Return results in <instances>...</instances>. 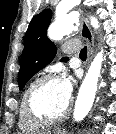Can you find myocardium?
Listing matches in <instances>:
<instances>
[{
  "label": "myocardium",
  "mask_w": 116,
  "mask_h": 134,
  "mask_svg": "<svg viewBox=\"0 0 116 134\" xmlns=\"http://www.w3.org/2000/svg\"><path fill=\"white\" fill-rule=\"evenodd\" d=\"M58 81V78L54 75L48 74L39 78L29 89L25 97V110L28 116L35 122L41 124H53L58 123L66 119L71 111L72 105L69 103L67 109L58 115H52L39 110L37 107L36 99L41 90L50 82Z\"/></svg>",
  "instance_id": "obj_1"
}]
</instances>
